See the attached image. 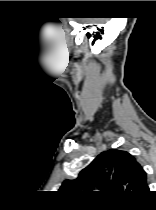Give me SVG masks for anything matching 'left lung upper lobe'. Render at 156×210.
I'll list each match as a JSON object with an SVG mask.
<instances>
[{"label":"left lung upper lobe","mask_w":156,"mask_h":210,"mask_svg":"<svg viewBox=\"0 0 156 210\" xmlns=\"http://www.w3.org/2000/svg\"><path fill=\"white\" fill-rule=\"evenodd\" d=\"M99 186L103 191L129 195L147 193L146 172L136 159L126 151L111 149L102 152L83 169L74 180H65L62 193H90Z\"/></svg>","instance_id":"1"}]
</instances>
